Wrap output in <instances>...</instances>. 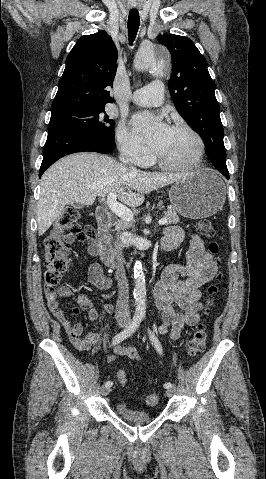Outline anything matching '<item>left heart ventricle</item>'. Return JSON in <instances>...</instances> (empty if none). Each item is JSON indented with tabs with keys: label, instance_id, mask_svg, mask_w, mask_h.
<instances>
[{
	"label": "left heart ventricle",
	"instance_id": "b2bd125f",
	"mask_svg": "<svg viewBox=\"0 0 266 479\" xmlns=\"http://www.w3.org/2000/svg\"><path fill=\"white\" fill-rule=\"evenodd\" d=\"M196 150L193 137L184 131L170 130L163 149L157 154L169 163H180L191 159Z\"/></svg>",
	"mask_w": 266,
	"mask_h": 479
}]
</instances>
